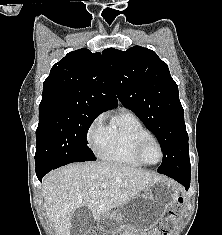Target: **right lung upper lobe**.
Returning a JSON list of instances; mask_svg holds the SVG:
<instances>
[{
    "mask_svg": "<svg viewBox=\"0 0 222 235\" xmlns=\"http://www.w3.org/2000/svg\"><path fill=\"white\" fill-rule=\"evenodd\" d=\"M117 106L101 53L82 48L53 65L43 83L39 113L56 108L102 113Z\"/></svg>",
    "mask_w": 222,
    "mask_h": 235,
    "instance_id": "cb5924a9",
    "label": "right lung upper lobe"
}]
</instances>
